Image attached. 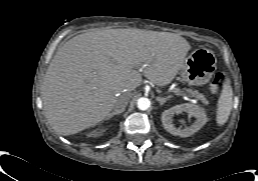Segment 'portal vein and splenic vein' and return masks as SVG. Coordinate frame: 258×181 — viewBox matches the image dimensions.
I'll return each instance as SVG.
<instances>
[{"label": "portal vein and splenic vein", "instance_id": "portal-vein-and-splenic-vein-1", "mask_svg": "<svg viewBox=\"0 0 258 181\" xmlns=\"http://www.w3.org/2000/svg\"><path fill=\"white\" fill-rule=\"evenodd\" d=\"M173 92L176 93L177 95H181L182 91H180L179 89H175Z\"/></svg>", "mask_w": 258, "mask_h": 181}]
</instances>
